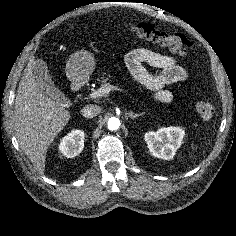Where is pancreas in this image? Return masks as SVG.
I'll return each instance as SVG.
<instances>
[{"instance_id": "cf45deb5", "label": "pancreas", "mask_w": 236, "mask_h": 236, "mask_svg": "<svg viewBox=\"0 0 236 236\" xmlns=\"http://www.w3.org/2000/svg\"><path fill=\"white\" fill-rule=\"evenodd\" d=\"M111 76L107 74L106 72H103L100 78H97V81L101 83V85H104L110 80Z\"/></svg>"}]
</instances>
